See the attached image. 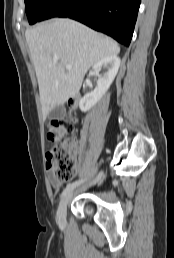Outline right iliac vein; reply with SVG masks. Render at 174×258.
<instances>
[{
	"instance_id": "right-iliac-vein-1",
	"label": "right iliac vein",
	"mask_w": 174,
	"mask_h": 258,
	"mask_svg": "<svg viewBox=\"0 0 174 258\" xmlns=\"http://www.w3.org/2000/svg\"><path fill=\"white\" fill-rule=\"evenodd\" d=\"M103 173L100 172V174L97 176V178L90 184H95L102 178ZM72 192H69L67 195H65L62 200L59 203L58 210H57V222L58 223H63L65 221V216H66V210H67V205L72 197Z\"/></svg>"
}]
</instances>
